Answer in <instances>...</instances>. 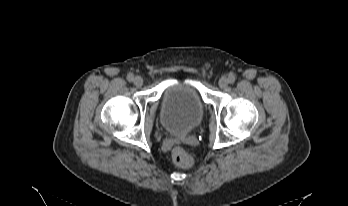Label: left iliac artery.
I'll list each match as a JSON object with an SVG mask.
<instances>
[{"mask_svg": "<svg viewBox=\"0 0 348 206\" xmlns=\"http://www.w3.org/2000/svg\"><path fill=\"white\" fill-rule=\"evenodd\" d=\"M228 81H229V83L230 84H233L234 82H235V76L234 75H229V77H228Z\"/></svg>", "mask_w": 348, "mask_h": 206, "instance_id": "1", "label": "left iliac artery"}]
</instances>
